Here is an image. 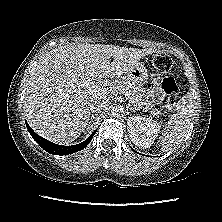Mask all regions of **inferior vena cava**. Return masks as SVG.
I'll return each instance as SVG.
<instances>
[{
    "mask_svg": "<svg viewBox=\"0 0 222 222\" xmlns=\"http://www.w3.org/2000/svg\"><path fill=\"white\" fill-rule=\"evenodd\" d=\"M107 106L108 100H106V98H99L91 105L90 110L93 114H99L106 110Z\"/></svg>",
    "mask_w": 222,
    "mask_h": 222,
    "instance_id": "1",
    "label": "inferior vena cava"
}]
</instances>
